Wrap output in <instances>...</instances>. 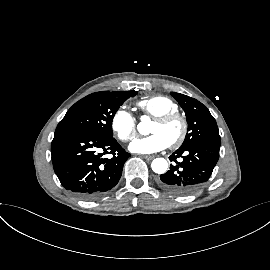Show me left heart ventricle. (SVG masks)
<instances>
[{"label":"left heart ventricle","instance_id":"left-heart-ventricle-1","mask_svg":"<svg viewBox=\"0 0 270 270\" xmlns=\"http://www.w3.org/2000/svg\"><path fill=\"white\" fill-rule=\"evenodd\" d=\"M150 132L163 136L170 144L179 136L181 123L179 121H172L167 124H161L154 121L150 127Z\"/></svg>","mask_w":270,"mask_h":270}]
</instances>
